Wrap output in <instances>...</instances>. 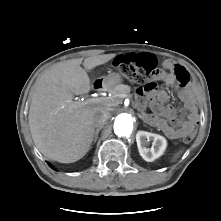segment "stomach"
Here are the masks:
<instances>
[{"instance_id":"1","label":"stomach","mask_w":221,"mask_h":221,"mask_svg":"<svg viewBox=\"0 0 221 221\" xmlns=\"http://www.w3.org/2000/svg\"><path fill=\"white\" fill-rule=\"evenodd\" d=\"M122 82V78L118 73H112L103 79V85L109 90H113Z\"/></svg>"}]
</instances>
